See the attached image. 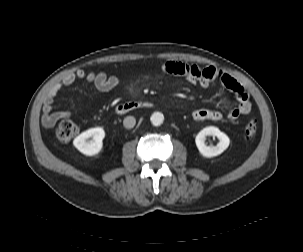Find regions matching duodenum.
Returning <instances> with one entry per match:
<instances>
[{
    "label": "duodenum",
    "instance_id": "410a0bca",
    "mask_svg": "<svg viewBox=\"0 0 303 252\" xmlns=\"http://www.w3.org/2000/svg\"><path fill=\"white\" fill-rule=\"evenodd\" d=\"M152 106V102L149 100H134L124 104H118L115 107V111L119 115L126 114L127 112L139 108H149Z\"/></svg>",
    "mask_w": 303,
    "mask_h": 252
}]
</instances>
